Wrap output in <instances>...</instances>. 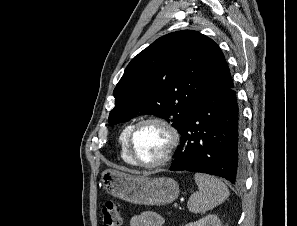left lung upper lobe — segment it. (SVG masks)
Returning a JSON list of instances; mask_svg holds the SVG:
<instances>
[{"label":"left lung upper lobe","instance_id":"5c2ea615","mask_svg":"<svg viewBox=\"0 0 297 226\" xmlns=\"http://www.w3.org/2000/svg\"><path fill=\"white\" fill-rule=\"evenodd\" d=\"M229 87L228 65L213 40L193 30L170 33L131 60L114 89L109 124L151 112L179 131L206 92Z\"/></svg>","mask_w":297,"mask_h":226}]
</instances>
